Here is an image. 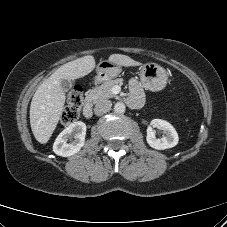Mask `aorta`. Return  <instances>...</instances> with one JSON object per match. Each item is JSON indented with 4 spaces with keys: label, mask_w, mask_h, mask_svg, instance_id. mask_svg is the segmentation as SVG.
Segmentation results:
<instances>
[{
    "label": "aorta",
    "mask_w": 227,
    "mask_h": 227,
    "mask_svg": "<svg viewBox=\"0 0 227 227\" xmlns=\"http://www.w3.org/2000/svg\"><path fill=\"white\" fill-rule=\"evenodd\" d=\"M126 110V106L124 103L122 102H117L115 105H114V111L118 114H121V113H124Z\"/></svg>",
    "instance_id": "1"
}]
</instances>
